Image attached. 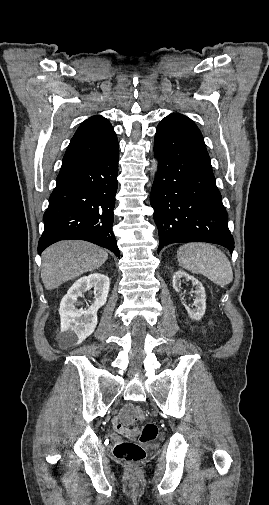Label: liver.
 <instances>
[{
  "instance_id": "1",
  "label": "liver",
  "mask_w": 269,
  "mask_h": 505,
  "mask_svg": "<svg viewBox=\"0 0 269 505\" xmlns=\"http://www.w3.org/2000/svg\"><path fill=\"white\" fill-rule=\"evenodd\" d=\"M108 253L86 241H60L42 253L41 278L47 290L101 267Z\"/></svg>"
}]
</instances>
